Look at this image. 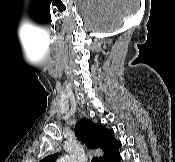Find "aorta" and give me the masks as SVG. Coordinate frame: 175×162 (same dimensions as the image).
Segmentation results:
<instances>
[{
  "label": "aorta",
  "instance_id": "aorta-1",
  "mask_svg": "<svg viewBox=\"0 0 175 162\" xmlns=\"http://www.w3.org/2000/svg\"><path fill=\"white\" fill-rule=\"evenodd\" d=\"M74 160H72V158L68 155H65L63 157L60 158V160H58V162H73Z\"/></svg>",
  "mask_w": 175,
  "mask_h": 162
}]
</instances>
